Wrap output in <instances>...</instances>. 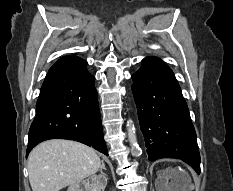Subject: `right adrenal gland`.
Wrapping results in <instances>:
<instances>
[{"label": "right adrenal gland", "instance_id": "2a0ac1e0", "mask_svg": "<svg viewBox=\"0 0 233 191\" xmlns=\"http://www.w3.org/2000/svg\"><path fill=\"white\" fill-rule=\"evenodd\" d=\"M101 163H102V164H101V167H100L99 171H100L101 175L105 176V174L103 173V170H106L104 161H102ZM106 179H107V178H106Z\"/></svg>", "mask_w": 233, "mask_h": 191}]
</instances>
